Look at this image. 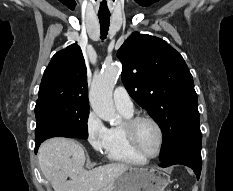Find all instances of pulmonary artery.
<instances>
[{"label":"pulmonary artery","mask_w":233,"mask_h":191,"mask_svg":"<svg viewBox=\"0 0 233 191\" xmlns=\"http://www.w3.org/2000/svg\"><path fill=\"white\" fill-rule=\"evenodd\" d=\"M114 105L118 111L133 113V102L123 86H119L113 93Z\"/></svg>","instance_id":"pulmonary-artery-1"}]
</instances>
